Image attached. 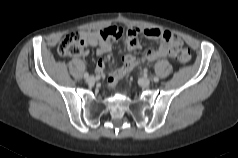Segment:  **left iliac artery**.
I'll return each mask as SVG.
<instances>
[{
    "instance_id": "44dca946",
    "label": "left iliac artery",
    "mask_w": 238,
    "mask_h": 158,
    "mask_svg": "<svg viewBox=\"0 0 238 158\" xmlns=\"http://www.w3.org/2000/svg\"><path fill=\"white\" fill-rule=\"evenodd\" d=\"M153 81H154V82H158V81H159V78H158V77H154V78H153Z\"/></svg>"
}]
</instances>
